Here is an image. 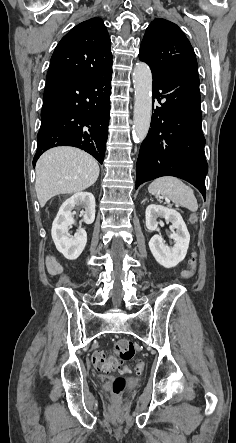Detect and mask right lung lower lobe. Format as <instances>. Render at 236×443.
I'll return each mask as SVG.
<instances>
[{"label": "right lung lower lobe", "instance_id": "98d812e1", "mask_svg": "<svg viewBox=\"0 0 236 443\" xmlns=\"http://www.w3.org/2000/svg\"><path fill=\"white\" fill-rule=\"evenodd\" d=\"M112 68L83 77L47 79L33 166L56 146H74L103 163L108 135Z\"/></svg>", "mask_w": 236, "mask_h": 443}]
</instances>
